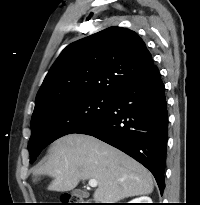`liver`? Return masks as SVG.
<instances>
[{"label": "liver", "mask_w": 200, "mask_h": 205, "mask_svg": "<svg viewBox=\"0 0 200 205\" xmlns=\"http://www.w3.org/2000/svg\"><path fill=\"white\" fill-rule=\"evenodd\" d=\"M35 174L52 177L48 190L57 192L95 179L98 188L93 198L99 203L150 194L154 188L151 173L139 162L95 137L76 133L53 142L48 160Z\"/></svg>", "instance_id": "1"}]
</instances>
